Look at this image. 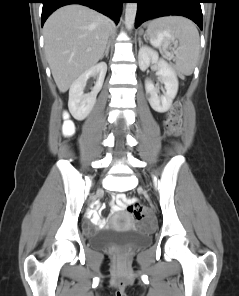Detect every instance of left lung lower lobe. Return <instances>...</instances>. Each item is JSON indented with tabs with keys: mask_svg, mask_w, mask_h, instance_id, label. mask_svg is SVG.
Wrapping results in <instances>:
<instances>
[{
	"mask_svg": "<svg viewBox=\"0 0 239 296\" xmlns=\"http://www.w3.org/2000/svg\"><path fill=\"white\" fill-rule=\"evenodd\" d=\"M138 3L135 27L146 20L168 15L184 16L194 21L202 30V0H133Z\"/></svg>",
	"mask_w": 239,
	"mask_h": 296,
	"instance_id": "left-lung-lower-lobe-1",
	"label": "left lung lower lobe"
}]
</instances>
